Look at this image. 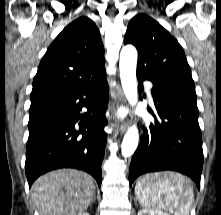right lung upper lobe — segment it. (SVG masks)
Listing matches in <instances>:
<instances>
[{"label":"right lung upper lobe","instance_id":"right-lung-upper-lobe-1","mask_svg":"<svg viewBox=\"0 0 221 215\" xmlns=\"http://www.w3.org/2000/svg\"><path fill=\"white\" fill-rule=\"evenodd\" d=\"M104 47L95 23L82 16L56 37L33 80L30 110L77 92L105 74Z\"/></svg>","mask_w":221,"mask_h":215}]
</instances>
